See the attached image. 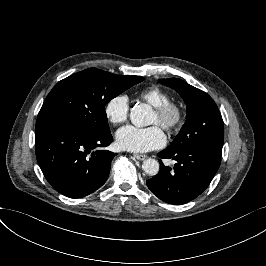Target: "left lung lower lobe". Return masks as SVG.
Here are the masks:
<instances>
[{"instance_id": "left-lung-lower-lobe-1", "label": "left lung lower lobe", "mask_w": 266, "mask_h": 266, "mask_svg": "<svg viewBox=\"0 0 266 266\" xmlns=\"http://www.w3.org/2000/svg\"><path fill=\"white\" fill-rule=\"evenodd\" d=\"M222 145L196 143L179 150L164 149L160 158L177 161L175 167L160 161L159 173L146 181L148 188L162 201L174 205L185 204L203 193L221 163Z\"/></svg>"}]
</instances>
